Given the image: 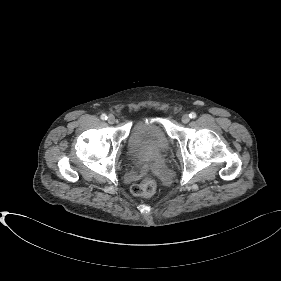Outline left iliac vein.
Returning a JSON list of instances; mask_svg holds the SVG:
<instances>
[{"instance_id": "obj_1", "label": "left iliac vein", "mask_w": 281, "mask_h": 281, "mask_svg": "<svg viewBox=\"0 0 281 281\" xmlns=\"http://www.w3.org/2000/svg\"><path fill=\"white\" fill-rule=\"evenodd\" d=\"M182 123L187 124L190 121L189 115L185 114L181 118Z\"/></svg>"}]
</instances>
